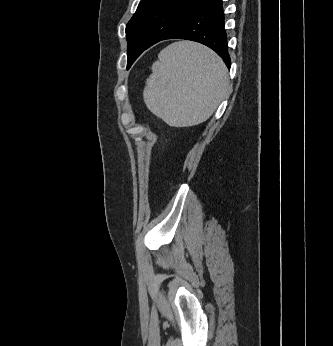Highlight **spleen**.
<instances>
[{
  "instance_id": "obj_1",
  "label": "spleen",
  "mask_w": 333,
  "mask_h": 346,
  "mask_svg": "<svg viewBox=\"0 0 333 346\" xmlns=\"http://www.w3.org/2000/svg\"><path fill=\"white\" fill-rule=\"evenodd\" d=\"M227 68L211 49L189 41L164 48L152 65L143 98L148 109L173 126L206 121L225 97Z\"/></svg>"
}]
</instances>
